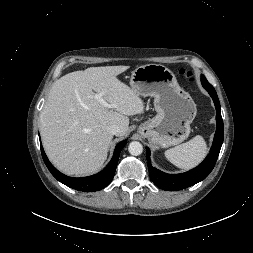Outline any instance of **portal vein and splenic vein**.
<instances>
[{
  "mask_svg": "<svg viewBox=\"0 0 253 253\" xmlns=\"http://www.w3.org/2000/svg\"><path fill=\"white\" fill-rule=\"evenodd\" d=\"M95 99L98 100L100 103H102L103 105H105L108 108H116L115 104H108L104 101V99L102 98L101 94H95Z\"/></svg>",
  "mask_w": 253,
  "mask_h": 253,
  "instance_id": "1",
  "label": "portal vein and splenic vein"
}]
</instances>
